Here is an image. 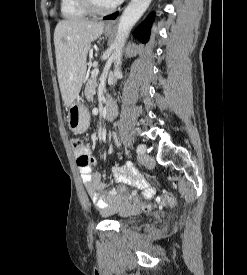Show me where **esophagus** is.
I'll use <instances>...</instances> for the list:
<instances>
[{
  "instance_id": "esophagus-1",
  "label": "esophagus",
  "mask_w": 247,
  "mask_h": 275,
  "mask_svg": "<svg viewBox=\"0 0 247 275\" xmlns=\"http://www.w3.org/2000/svg\"><path fill=\"white\" fill-rule=\"evenodd\" d=\"M115 25V21H109L107 24H106V27H113Z\"/></svg>"
}]
</instances>
